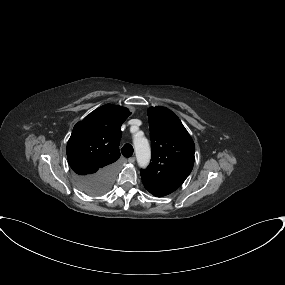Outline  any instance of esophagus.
Here are the masks:
<instances>
[{
    "mask_svg": "<svg viewBox=\"0 0 285 285\" xmlns=\"http://www.w3.org/2000/svg\"><path fill=\"white\" fill-rule=\"evenodd\" d=\"M128 162H129V163H134V162H135V158H134V157H130V158L128 159Z\"/></svg>",
    "mask_w": 285,
    "mask_h": 285,
    "instance_id": "1",
    "label": "esophagus"
}]
</instances>
